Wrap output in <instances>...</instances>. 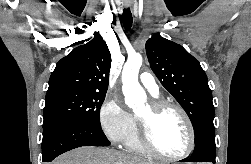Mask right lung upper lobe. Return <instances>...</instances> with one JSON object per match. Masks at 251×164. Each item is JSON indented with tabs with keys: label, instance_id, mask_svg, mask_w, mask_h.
I'll use <instances>...</instances> for the list:
<instances>
[{
	"label": "right lung upper lobe",
	"instance_id": "right-lung-upper-lobe-1",
	"mask_svg": "<svg viewBox=\"0 0 251 164\" xmlns=\"http://www.w3.org/2000/svg\"><path fill=\"white\" fill-rule=\"evenodd\" d=\"M111 54L99 33L87 44L73 49L56 65L47 92L71 89L106 93L109 83Z\"/></svg>",
	"mask_w": 251,
	"mask_h": 164
}]
</instances>
